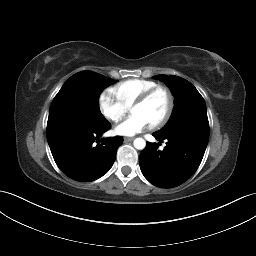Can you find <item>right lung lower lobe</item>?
Wrapping results in <instances>:
<instances>
[{
  "label": "right lung lower lobe",
  "instance_id": "obj_1",
  "mask_svg": "<svg viewBox=\"0 0 256 256\" xmlns=\"http://www.w3.org/2000/svg\"><path fill=\"white\" fill-rule=\"evenodd\" d=\"M110 123L100 127H87L76 123L47 124V140L53 158L69 178L94 181L103 176L113 165L116 151L122 144L120 136L101 139Z\"/></svg>",
  "mask_w": 256,
  "mask_h": 256
}]
</instances>
